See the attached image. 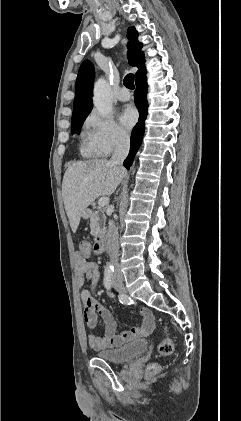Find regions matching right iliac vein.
Here are the masks:
<instances>
[{"instance_id":"1","label":"right iliac vein","mask_w":241,"mask_h":421,"mask_svg":"<svg viewBox=\"0 0 241 421\" xmlns=\"http://www.w3.org/2000/svg\"><path fill=\"white\" fill-rule=\"evenodd\" d=\"M112 284H113L114 288L116 290H118L119 292H121V293H125L126 292V289H125V286H124L122 280H120V279L114 280Z\"/></svg>"}]
</instances>
